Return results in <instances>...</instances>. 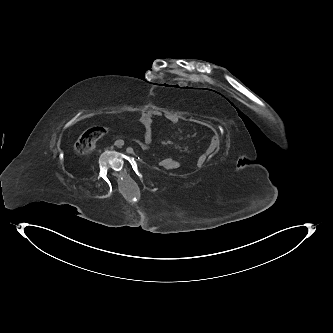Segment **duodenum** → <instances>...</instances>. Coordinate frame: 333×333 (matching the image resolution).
<instances>
[{
    "label": "duodenum",
    "instance_id": "1",
    "mask_svg": "<svg viewBox=\"0 0 333 333\" xmlns=\"http://www.w3.org/2000/svg\"><path fill=\"white\" fill-rule=\"evenodd\" d=\"M138 144L140 145V147L143 149V150H147L148 149V146L146 144H144L143 142H138Z\"/></svg>",
    "mask_w": 333,
    "mask_h": 333
}]
</instances>
